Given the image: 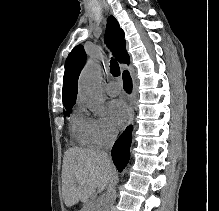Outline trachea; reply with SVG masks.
<instances>
[{"instance_id":"3493384b","label":"trachea","mask_w":219,"mask_h":211,"mask_svg":"<svg viewBox=\"0 0 219 211\" xmlns=\"http://www.w3.org/2000/svg\"><path fill=\"white\" fill-rule=\"evenodd\" d=\"M110 72L113 76L120 75V68L116 60L112 59L110 62Z\"/></svg>"}]
</instances>
